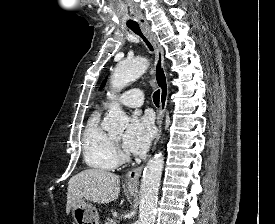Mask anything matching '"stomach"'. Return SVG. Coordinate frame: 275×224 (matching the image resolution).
<instances>
[{
	"label": "stomach",
	"instance_id": "stomach-1",
	"mask_svg": "<svg viewBox=\"0 0 275 224\" xmlns=\"http://www.w3.org/2000/svg\"><path fill=\"white\" fill-rule=\"evenodd\" d=\"M127 191L132 195L135 190L128 188ZM72 217L75 224H99V213L91 204L82 201L72 208Z\"/></svg>",
	"mask_w": 275,
	"mask_h": 224
}]
</instances>
